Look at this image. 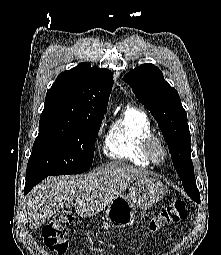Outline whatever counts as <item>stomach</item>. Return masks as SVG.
<instances>
[{
    "instance_id": "obj_1",
    "label": "stomach",
    "mask_w": 221,
    "mask_h": 255,
    "mask_svg": "<svg viewBox=\"0 0 221 255\" xmlns=\"http://www.w3.org/2000/svg\"><path fill=\"white\" fill-rule=\"evenodd\" d=\"M164 188L155 178L144 176L135 181L127 195L118 196L107 207L105 217L113 227H126L134 220L137 207L148 209L163 196Z\"/></svg>"
}]
</instances>
